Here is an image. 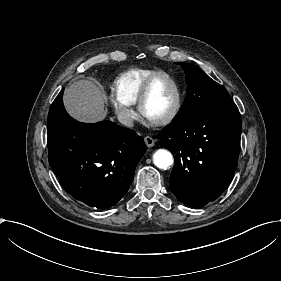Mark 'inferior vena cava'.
I'll use <instances>...</instances> for the list:
<instances>
[{
  "label": "inferior vena cava",
  "instance_id": "obj_1",
  "mask_svg": "<svg viewBox=\"0 0 281 281\" xmlns=\"http://www.w3.org/2000/svg\"><path fill=\"white\" fill-rule=\"evenodd\" d=\"M118 121L127 126V127H133L134 123H133V118L125 113H119L118 116Z\"/></svg>",
  "mask_w": 281,
  "mask_h": 281
}]
</instances>
